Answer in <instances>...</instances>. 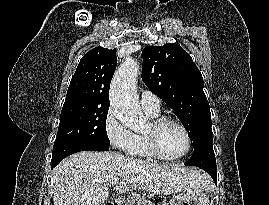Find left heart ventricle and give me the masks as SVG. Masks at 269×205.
<instances>
[{
  "mask_svg": "<svg viewBox=\"0 0 269 205\" xmlns=\"http://www.w3.org/2000/svg\"><path fill=\"white\" fill-rule=\"evenodd\" d=\"M149 125L145 129L147 131ZM158 144L160 150L167 156H178L187 147L186 137L183 131L176 125L168 123L164 125L158 134Z\"/></svg>",
  "mask_w": 269,
  "mask_h": 205,
  "instance_id": "obj_1",
  "label": "left heart ventricle"
}]
</instances>
